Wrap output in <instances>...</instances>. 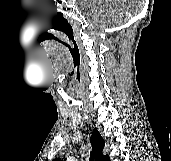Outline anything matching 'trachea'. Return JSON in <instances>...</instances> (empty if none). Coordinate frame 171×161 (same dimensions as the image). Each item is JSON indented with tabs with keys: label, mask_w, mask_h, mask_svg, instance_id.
I'll return each mask as SVG.
<instances>
[{
	"label": "trachea",
	"mask_w": 171,
	"mask_h": 161,
	"mask_svg": "<svg viewBox=\"0 0 171 161\" xmlns=\"http://www.w3.org/2000/svg\"><path fill=\"white\" fill-rule=\"evenodd\" d=\"M89 160H90V161H92V160H93L92 155L90 156Z\"/></svg>",
	"instance_id": "1"
}]
</instances>
